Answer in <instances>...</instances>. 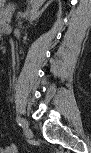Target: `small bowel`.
Returning <instances> with one entry per match:
<instances>
[{"mask_svg":"<svg viewBox=\"0 0 91 153\" xmlns=\"http://www.w3.org/2000/svg\"><path fill=\"white\" fill-rule=\"evenodd\" d=\"M2 153H16L17 152V148L14 144H9L5 147L1 148Z\"/></svg>","mask_w":91,"mask_h":153,"instance_id":"small-bowel-1","label":"small bowel"}]
</instances>
